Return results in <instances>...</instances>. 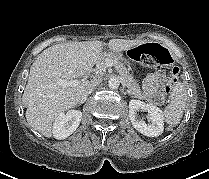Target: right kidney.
Wrapping results in <instances>:
<instances>
[{
    "label": "right kidney",
    "instance_id": "1",
    "mask_svg": "<svg viewBox=\"0 0 209 179\" xmlns=\"http://www.w3.org/2000/svg\"><path fill=\"white\" fill-rule=\"evenodd\" d=\"M81 118L82 112L79 110L61 113L53 124V137L59 140L69 137L78 128Z\"/></svg>",
    "mask_w": 209,
    "mask_h": 179
}]
</instances>
